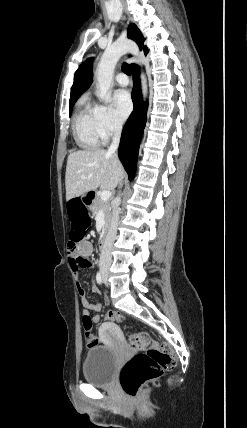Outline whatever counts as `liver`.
<instances>
[{"mask_svg": "<svg viewBox=\"0 0 247 428\" xmlns=\"http://www.w3.org/2000/svg\"><path fill=\"white\" fill-rule=\"evenodd\" d=\"M124 169L115 155L103 149L79 150L67 159L65 187L69 201L100 187L112 191L123 179ZM83 176L85 178H83Z\"/></svg>", "mask_w": 247, "mask_h": 428, "instance_id": "6515ba94", "label": "liver"}]
</instances>
